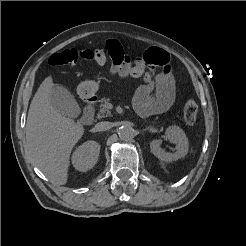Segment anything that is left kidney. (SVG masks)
Here are the masks:
<instances>
[{
	"label": "left kidney",
	"instance_id": "1",
	"mask_svg": "<svg viewBox=\"0 0 246 246\" xmlns=\"http://www.w3.org/2000/svg\"><path fill=\"white\" fill-rule=\"evenodd\" d=\"M165 139L176 145L174 153L165 152L161 148V140H153L150 143V150L158 159L172 162L184 157L188 153L189 143L184 131L178 126H169L165 131Z\"/></svg>",
	"mask_w": 246,
	"mask_h": 246
}]
</instances>
